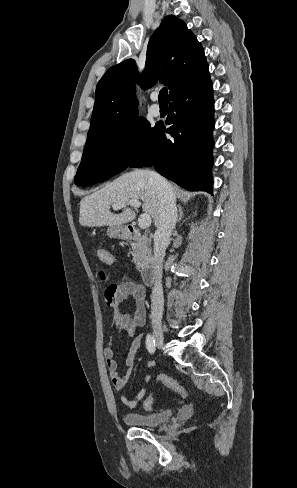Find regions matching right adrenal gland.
I'll use <instances>...</instances> for the list:
<instances>
[{"label": "right adrenal gland", "mask_w": 297, "mask_h": 488, "mask_svg": "<svg viewBox=\"0 0 297 488\" xmlns=\"http://www.w3.org/2000/svg\"><path fill=\"white\" fill-rule=\"evenodd\" d=\"M178 211H179V217L177 221L180 222L183 216V209L180 205L178 206Z\"/></svg>", "instance_id": "obj_1"}]
</instances>
